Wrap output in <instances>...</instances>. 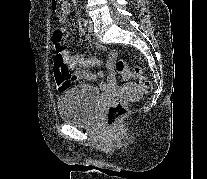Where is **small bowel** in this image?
Here are the masks:
<instances>
[{"instance_id": "obj_1", "label": "small bowel", "mask_w": 207, "mask_h": 179, "mask_svg": "<svg viewBox=\"0 0 207 179\" xmlns=\"http://www.w3.org/2000/svg\"><path fill=\"white\" fill-rule=\"evenodd\" d=\"M69 12L70 6L68 5L66 14L59 18L60 23H64L66 21ZM58 30L61 31L62 35L65 33L64 28H60ZM96 48L108 53L107 69L109 72V77L107 80H102L104 77L103 72L91 71V68L99 67L101 65V61L98 58L93 56L86 57L83 55L72 56L68 51H64L63 54L66 58L68 67L72 70V76L74 80L82 79L88 81H99L98 87L101 90L107 91L116 85L115 70L118 52L114 49L104 47L99 43L96 44ZM122 81L125 82L127 80L122 79Z\"/></svg>"}]
</instances>
